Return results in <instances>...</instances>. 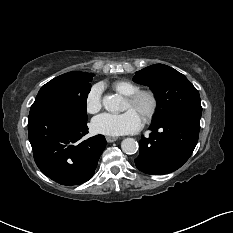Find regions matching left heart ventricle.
Returning <instances> with one entry per match:
<instances>
[{
	"mask_svg": "<svg viewBox=\"0 0 233 233\" xmlns=\"http://www.w3.org/2000/svg\"><path fill=\"white\" fill-rule=\"evenodd\" d=\"M150 106V101L148 98L144 97L142 98L137 104L132 105L128 101L125 103V110L132 109L135 112L139 114V116L142 118L145 114V112L148 110Z\"/></svg>",
	"mask_w": 233,
	"mask_h": 233,
	"instance_id": "obj_1",
	"label": "left heart ventricle"
}]
</instances>
